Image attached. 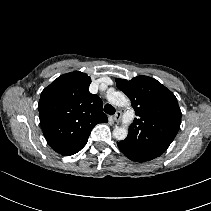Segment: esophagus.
Instances as JSON below:
<instances>
[{
  "label": "esophagus",
  "mask_w": 211,
  "mask_h": 211,
  "mask_svg": "<svg viewBox=\"0 0 211 211\" xmlns=\"http://www.w3.org/2000/svg\"><path fill=\"white\" fill-rule=\"evenodd\" d=\"M121 111H117L115 115L112 117L115 122H119L121 118Z\"/></svg>",
  "instance_id": "esophagus-1"
}]
</instances>
